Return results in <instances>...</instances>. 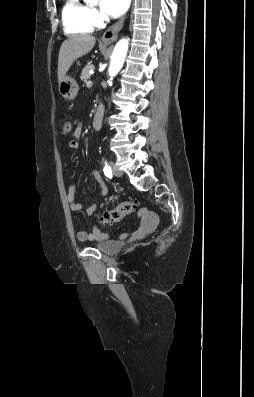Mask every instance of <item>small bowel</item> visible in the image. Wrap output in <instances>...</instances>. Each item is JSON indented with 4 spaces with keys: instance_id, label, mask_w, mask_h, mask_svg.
Returning <instances> with one entry per match:
<instances>
[{
    "instance_id": "1",
    "label": "small bowel",
    "mask_w": 254,
    "mask_h": 397,
    "mask_svg": "<svg viewBox=\"0 0 254 397\" xmlns=\"http://www.w3.org/2000/svg\"><path fill=\"white\" fill-rule=\"evenodd\" d=\"M81 124H79L74 133H73V139L70 140L69 142V148L71 150H77L79 148V137L81 135ZM91 178L96 181L99 184L100 187V193H101V199H103L107 193H108V188L105 185V183L102 180L101 174L98 169H93L90 173ZM67 201L69 203L70 210L72 212H80L84 211L87 215H92L99 207L101 200L97 201L96 203L84 207L81 203H79L76 200V189L75 185H70L68 192H67ZM140 216L142 219L148 223L150 220V214L146 210H142L140 212ZM76 238L81 241V242H86V241H102L108 238V235L106 233L101 232V230L97 227L93 228L92 231L87 232L84 230H80L76 233Z\"/></svg>"
}]
</instances>
